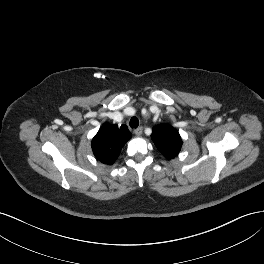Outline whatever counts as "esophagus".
Segmentation results:
<instances>
[{"mask_svg":"<svg viewBox=\"0 0 264 264\" xmlns=\"http://www.w3.org/2000/svg\"><path fill=\"white\" fill-rule=\"evenodd\" d=\"M143 132V128L142 127H138L134 130V133L136 136H140Z\"/></svg>","mask_w":264,"mask_h":264,"instance_id":"1","label":"esophagus"}]
</instances>
